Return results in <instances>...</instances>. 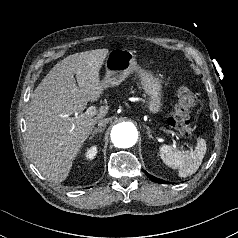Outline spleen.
I'll use <instances>...</instances> for the list:
<instances>
[{
    "instance_id": "1",
    "label": "spleen",
    "mask_w": 238,
    "mask_h": 238,
    "mask_svg": "<svg viewBox=\"0 0 238 238\" xmlns=\"http://www.w3.org/2000/svg\"><path fill=\"white\" fill-rule=\"evenodd\" d=\"M206 141L199 138L194 151H180L169 145H162L159 148V155L162 161L169 167L179 169L180 177H188L194 174L200 167L206 154Z\"/></svg>"
}]
</instances>
